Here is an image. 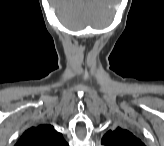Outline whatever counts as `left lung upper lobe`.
Returning <instances> with one entry per match:
<instances>
[{"instance_id":"5c2ea615","label":"left lung upper lobe","mask_w":164,"mask_h":146,"mask_svg":"<svg viewBox=\"0 0 164 146\" xmlns=\"http://www.w3.org/2000/svg\"><path fill=\"white\" fill-rule=\"evenodd\" d=\"M101 143L107 146H144L138 137L119 127L116 130H109L103 136Z\"/></svg>"}]
</instances>
